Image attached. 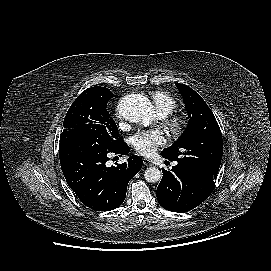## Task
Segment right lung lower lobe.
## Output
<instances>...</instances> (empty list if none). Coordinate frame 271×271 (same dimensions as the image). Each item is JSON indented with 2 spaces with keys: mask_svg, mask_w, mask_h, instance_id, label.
Wrapping results in <instances>:
<instances>
[{
  "mask_svg": "<svg viewBox=\"0 0 271 271\" xmlns=\"http://www.w3.org/2000/svg\"><path fill=\"white\" fill-rule=\"evenodd\" d=\"M129 151L124 141L114 149H104L97 144L59 146L66 182L85 206L96 211H110L123 203L128 182L140 171L142 160L133 155L117 167H108L106 162L110 153L126 155Z\"/></svg>",
  "mask_w": 271,
  "mask_h": 271,
  "instance_id": "1",
  "label": "right lung lower lobe"
}]
</instances>
